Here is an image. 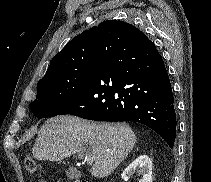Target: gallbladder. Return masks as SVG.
<instances>
[{
	"instance_id": "1",
	"label": "gallbladder",
	"mask_w": 211,
	"mask_h": 182,
	"mask_svg": "<svg viewBox=\"0 0 211 182\" xmlns=\"http://www.w3.org/2000/svg\"><path fill=\"white\" fill-rule=\"evenodd\" d=\"M73 171H74L73 168H69L68 171H67V175H68L69 177H71Z\"/></svg>"
}]
</instances>
